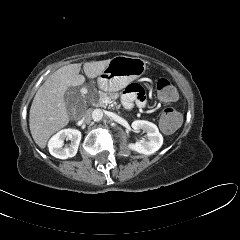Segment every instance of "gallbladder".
<instances>
[{
  "mask_svg": "<svg viewBox=\"0 0 240 240\" xmlns=\"http://www.w3.org/2000/svg\"><path fill=\"white\" fill-rule=\"evenodd\" d=\"M71 90H73V89H69V91H71ZM65 100H66V102H67V104H68V106H71V94L69 93V92H67L66 94H65Z\"/></svg>",
  "mask_w": 240,
  "mask_h": 240,
  "instance_id": "gallbladder-1",
  "label": "gallbladder"
}]
</instances>
